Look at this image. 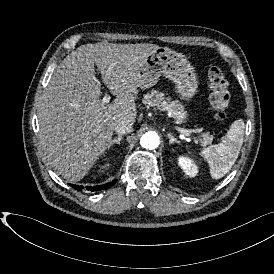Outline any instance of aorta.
Wrapping results in <instances>:
<instances>
[{
	"label": "aorta",
	"instance_id": "obj_1",
	"mask_svg": "<svg viewBox=\"0 0 274 274\" xmlns=\"http://www.w3.org/2000/svg\"><path fill=\"white\" fill-rule=\"evenodd\" d=\"M160 140L156 132L150 131L142 135L140 145L143 148L153 150L159 146Z\"/></svg>",
	"mask_w": 274,
	"mask_h": 274
}]
</instances>
